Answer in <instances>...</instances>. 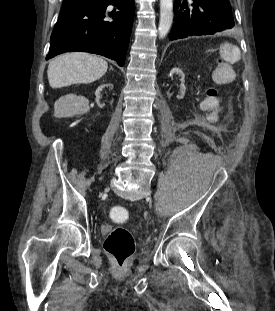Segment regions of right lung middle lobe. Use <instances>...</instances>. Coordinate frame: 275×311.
<instances>
[{"label": "right lung middle lobe", "mask_w": 275, "mask_h": 311, "mask_svg": "<svg viewBox=\"0 0 275 311\" xmlns=\"http://www.w3.org/2000/svg\"><path fill=\"white\" fill-rule=\"evenodd\" d=\"M84 1H86V0H79V1H76V2H73V3H63V8L64 7H68V6H70V5H73V4H76V3H81V2H84Z\"/></svg>", "instance_id": "dd1d6c3e"}]
</instances>
